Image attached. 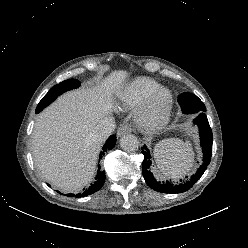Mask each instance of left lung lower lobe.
I'll return each mask as SVG.
<instances>
[{"instance_id":"obj_1","label":"left lung lower lobe","mask_w":248,"mask_h":248,"mask_svg":"<svg viewBox=\"0 0 248 248\" xmlns=\"http://www.w3.org/2000/svg\"><path fill=\"white\" fill-rule=\"evenodd\" d=\"M194 123L197 124L200 133L201 147L203 149V164L197 170L196 174L191 177L189 181L182 182L181 184L175 185L172 182L158 181L154 178V175L149 171L151 166V155L149 149L144 145L142 147V153L144 155V160L142 162V173L143 177L148 186H150L155 191L161 193H182L189 190L196 181L203 175L207 166L210 163L212 155V142L213 135L210 128L207 116L204 112H200L199 115L194 120Z\"/></svg>"}]
</instances>
